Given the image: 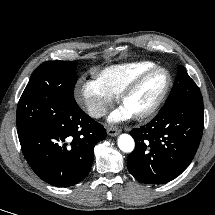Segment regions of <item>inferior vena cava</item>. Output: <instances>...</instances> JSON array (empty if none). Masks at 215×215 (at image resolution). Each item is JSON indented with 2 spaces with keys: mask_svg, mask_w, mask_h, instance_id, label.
Returning a JSON list of instances; mask_svg holds the SVG:
<instances>
[{
  "mask_svg": "<svg viewBox=\"0 0 215 215\" xmlns=\"http://www.w3.org/2000/svg\"><path fill=\"white\" fill-rule=\"evenodd\" d=\"M90 114L92 117L100 118L106 114V110L103 108H93Z\"/></svg>",
  "mask_w": 215,
  "mask_h": 215,
  "instance_id": "1",
  "label": "inferior vena cava"
}]
</instances>
